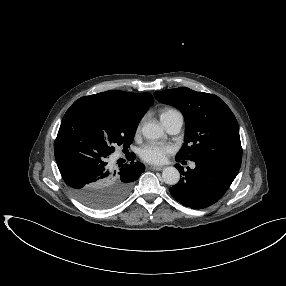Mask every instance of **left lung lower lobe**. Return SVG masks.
Segmentation results:
<instances>
[{"instance_id": "0a47b994", "label": "left lung lower lobe", "mask_w": 286, "mask_h": 286, "mask_svg": "<svg viewBox=\"0 0 286 286\" xmlns=\"http://www.w3.org/2000/svg\"><path fill=\"white\" fill-rule=\"evenodd\" d=\"M195 163V169L188 167L186 172L176 165L182 178L169 191L182 205L202 209L216 203L225 194L240 168L215 160Z\"/></svg>"}]
</instances>
